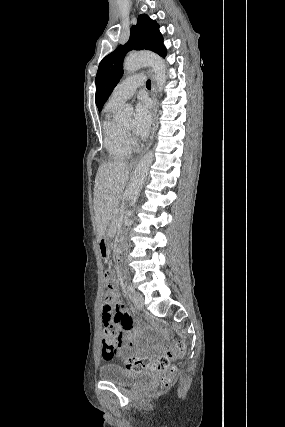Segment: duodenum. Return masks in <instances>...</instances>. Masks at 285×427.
<instances>
[{"label":"duodenum","mask_w":285,"mask_h":427,"mask_svg":"<svg viewBox=\"0 0 285 427\" xmlns=\"http://www.w3.org/2000/svg\"><path fill=\"white\" fill-rule=\"evenodd\" d=\"M123 253H124V251H123V249H119L118 250V254H119V260L121 259V257H122V255H123Z\"/></svg>","instance_id":"obj_1"}]
</instances>
